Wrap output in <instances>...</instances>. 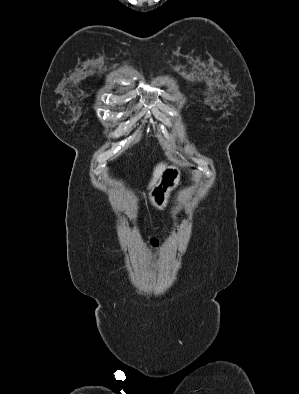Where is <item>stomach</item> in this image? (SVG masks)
<instances>
[{"instance_id":"0dacf381","label":"stomach","mask_w":299,"mask_h":394,"mask_svg":"<svg viewBox=\"0 0 299 394\" xmlns=\"http://www.w3.org/2000/svg\"><path fill=\"white\" fill-rule=\"evenodd\" d=\"M181 179L182 173L178 165L172 164L164 167L158 181L149 192L152 205L159 210L165 209L171 192L179 186Z\"/></svg>"}]
</instances>
